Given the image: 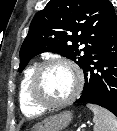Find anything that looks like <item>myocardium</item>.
<instances>
[{"mask_svg":"<svg viewBox=\"0 0 117 131\" xmlns=\"http://www.w3.org/2000/svg\"><path fill=\"white\" fill-rule=\"evenodd\" d=\"M54 65L67 66L76 75V87H75L73 93L68 98H66L62 101H55V102L43 99L38 93V82H39L42 72L46 68H48L50 66H54ZM83 85H84L83 73L75 63H73L72 61L67 60V59L53 58V59L45 60L35 67V69L32 73V76L30 78L29 95H30V98L33 101V103L41 108H44V109L61 108L66 105H69L70 103H72L74 100L77 99V97L80 95V93L83 89Z\"/></svg>","mask_w":117,"mask_h":131,"instance_id":"obj_1","label":"myocardium"}]
</instances>
